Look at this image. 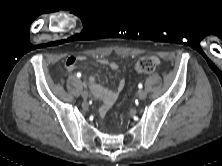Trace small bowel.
I'll return each instance as SVG.
<instances>
[{
    "instance_id": "small-bowel-1",
    "label": "small bowel",
    "mask_w": 222,
    "mask_h": 166,
    "mask_svg": "<svg viewBox=\"0 0 222 166\" xmlns=\"http://www.w3.org/2000/svg\"><path fill=\"white\" fill-rule=\"evenodd\" d=\"M83 60H85L84 56H70L65 61V67L67 70H72L78 61ZM98 62L101 65L108 66L112 70L118 69L117 63L110 62L105 58L98 59ZM87 83L90 86L93 94L102 102L99 109L100 115H104L110 109V107L116 101L118 94L125 87V80L120 79L114 88H105L102 85L96 83L95 77L92 75L87 78Z\"/></svg>"
}]
</instances>
